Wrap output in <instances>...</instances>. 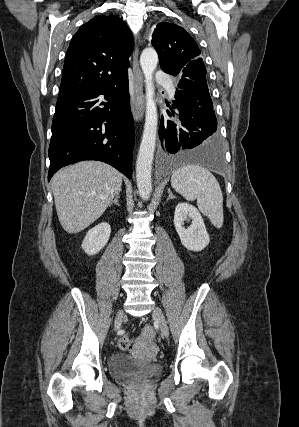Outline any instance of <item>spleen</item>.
Instances as JSON below:
<instances>
[{
  "instance_id": "obj_1",
  "label": "spleen",
  "mask_w": 299,
  "mask_h": 427,
  "mask_svg": "<svg viewBox=\"0 0 299 427\" xmlns=\"http://www.w3.org/2000/svg\"><path fill=\"white\" fill-rule=\"evenodd\" d=\"M172 187L186 200H197L199 210L216 228L223 225V195L215 176L206 168L186 165L176 169L171 177Z\"/></svg>"
}]
</instances>
